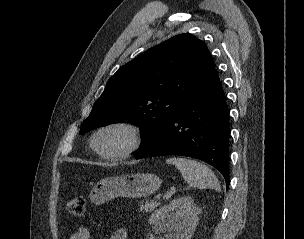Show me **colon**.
<instances>
[{
	"label": "colon",
	"instance_id": "obj_1",
	"mask_svg": "<svg viewBox=\"0 0 304 239\" xmlns=\"http://www.w3.org/2000/svg\"><path fill=\"white\" fill-rule=\"evenodd\" d=\"M85 205L86 201L83 196H75L66 202L65 209L75 217H82L85 214Z\"/></svg>",
	"mask_w": 304,
	"mask_h": 239
}]
</instances>
